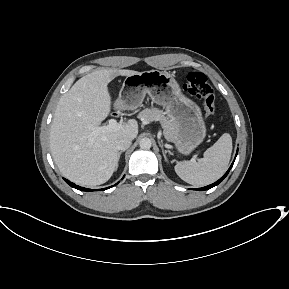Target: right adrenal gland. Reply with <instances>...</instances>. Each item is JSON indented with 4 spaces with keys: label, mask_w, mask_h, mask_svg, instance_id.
<instances>
[{
    "label": "right adrenal gland",
    "mask_w": 289,
    "mask_h": 289,
    "mask_svg": "<svg viewBox=\"0 0 289 289\" xmlns=\"http://www.w3.org/2000/svg\"><path fill=\"white\" fill-rule=\"evenodd\" d=\"M125 150H121L119 153H118V160L120 159V156H121V154L124 152ZM117 168H118V164H117V166H116V170H117Z\"/></svg>",
    "instance_id": "right-adrenal-gland-1"
}]
</instances>
